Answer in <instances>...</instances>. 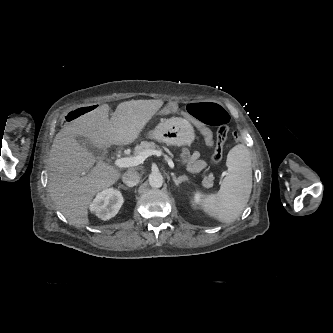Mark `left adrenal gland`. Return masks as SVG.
Returning a JSON list of instances; mask_svg holds the SVG:
<instances>
[{"label":"left adrenal gland","instance_id":"1","mask_svg":"<svg viewBox=\"0 0 333 333\" xmlns=\"http://www.w3.org/2000/svg\"><path fill=\"white\" fill-rule=\"evenodd\" d=\"M172 179L176 186H179V184H181L182 182L188 181V178L185 175L179 176L178 178H176V176L173 174Z\"/></svg>","mask_w":333,"mask_h":333}]
</instances>
